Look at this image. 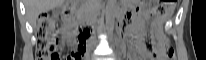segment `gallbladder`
Listing matches in <instances>:
<instances>
[{"label": "gallbladder", "instance_id": "bac80fb5", "mask_svg": "<svg viewBox=\"0 0 206 60\" xmlns=\"http://www.w3.org/2000/svg\"><path fill=\"white\" fill-rule=\"evenodd\" d=\"M53 12L59 13V8L54 9Z\"/></svg>", "mask_w": 206, "mask_h": 60}]
</instances>
